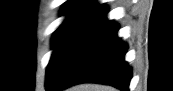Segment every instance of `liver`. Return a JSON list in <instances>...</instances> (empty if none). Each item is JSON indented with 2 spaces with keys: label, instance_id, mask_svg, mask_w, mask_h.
<instances>
[{
  "label": "liver",
  "instance_id": "6515ba94",
  "mask_svg": "<svg viewBox=\"0 0 173 91\" xmlns=\"http://www.w3.org/2000/svg\"><path fill=\"white\" fill-rule=\"evenodd\" d=\"M67 91H116L115 88L110 86H102L96 84H81L69 88Z\"/></svg>",
  "mask_w": 173,
  "mask_h": 91
}]
</instances>
